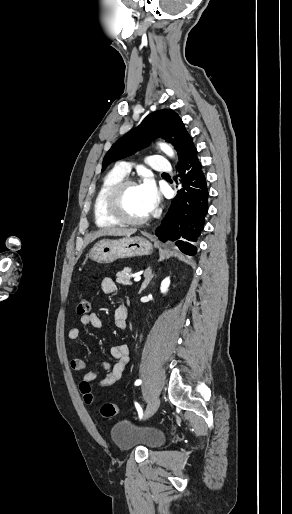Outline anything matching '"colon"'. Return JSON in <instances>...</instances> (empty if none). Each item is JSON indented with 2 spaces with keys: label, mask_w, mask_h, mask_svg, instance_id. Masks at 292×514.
Masks as SVG:
<instances>
[{
  "label": "colon",
  "mask_w": 292,
  "mask_h": 514,
  "mask_svg": "<svg viewBox=\"0 0 292 514\" xmlns=\"http://www.w3.org/2000/svg\"><path fill=\"white\" fill-rule=\"evenodd\" d=\"M91 302L88 299H81L77 303V314L78 315H86L90 312ZM90 384L88 382H83L78 389V392L82 396H86V400L88 402L93 401V396L90 394ZM118 414V406L115 403L107 402L102 403L100 406V415L104 418H111Z\"/></svg>",
  "instance_id": "5ec220e1"
}]
</instances>
